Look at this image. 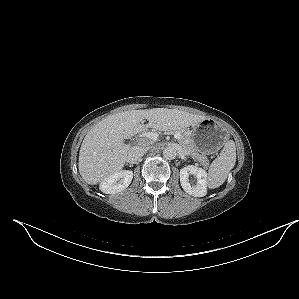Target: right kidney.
<instances>
[{
	"instance_id": "1",
	"label": "right kidney",
	"mask_w": 299,
	"mask_h": 299,
	"mask_svg": "<svg viewBox=\"0 0 299 299\" xmlns=\"http://www.w3.org/2000/svg\"><path fill=\"white\" fill-rule=\"evenodd\" d=\"M133 179V172L130 170L118 171L100 183V190L106 194H115L126 189Z\"/></svg>"
}]
</instances>
